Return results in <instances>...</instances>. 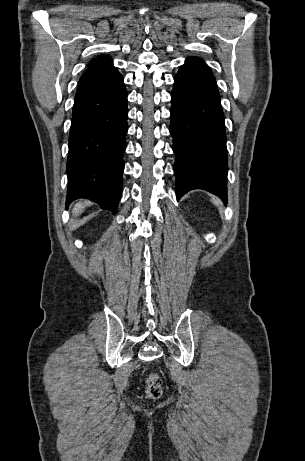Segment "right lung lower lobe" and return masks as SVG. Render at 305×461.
<instances>
[{
	"label": "right lung lower lobe",
	"instance_id": "obj_1",
	"mask_svg": "<svg viewBox=\"0 0 305 461\" xmlns=\"http://www.w3.org/2000/svg\"><path fill=\"white\" fill-rule=\"evenodd\" d=\"M127 116V92L119 72L79 83L69 135L66 203L87 198L116 214Z\"/></svg>",
	"mask_w": 305,
	"mask_h": 461
}]
</instances>
